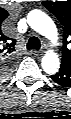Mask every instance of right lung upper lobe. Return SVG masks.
Returning <instances> with one entry per match:
<instances>
[{"label": "right lung upper lobe", "mask_w": 71, "mask_h": 119, "mask_svg": "<svg viewBox=\"0 0 71 119\" xmlns=\"http://www.w3.org/2000/svg\"><path fill=\"white\" fill-rule=\"evenodd\" d=\"M1 15H2V20L8 17V12L4 9H1ZM1 39L3 40V43L5 44L6 50L11 53L14 51V46L16 41L15 40H10L7 36L2 35Z\"/></svg>", "instance_id": "cb5924a9"}]
</instances>
